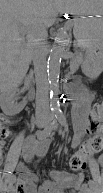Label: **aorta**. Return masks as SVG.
I'll return each mask as SVG.
<instances>
[{"instance_id":"obj_1","label":"aorta","mask_w":103,"mask_h":193,"mask_svg":"<svg viewBox=\"0 0 103 193\" xmlns=\"http://www.w3.org/2000/svg\"><path fill=\"white\" fill-rule=\"evenodd\" d=\"M68 42V33L64 29H60L55 37L54 44L51 48L50 55L47 62V71L50 87L53 92L57 90L60 66L63 53L65 51V46ZM52 105L55 110H57L56 99L52 100Z\"/></svg>"}]
</instances>
